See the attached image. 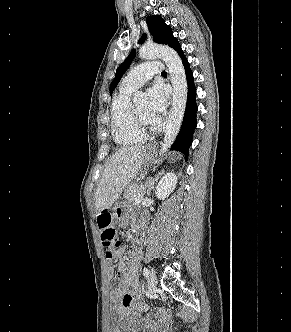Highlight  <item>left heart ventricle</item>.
Segmentation results:
<instances>
[{
  "label": "left heart ventricle",
  "mask_w": 291,
  "mask_h": 332,
  "mask_svg": "<svg viewBox=\"0 0 291 332\" xmlns=\"http://www.w3.org/2000/svg\"><path fill=\"white\" fill-rule=\"evenodd\" d=\"M137 111L142 118V120L148 125H152L149 115H148V103L147 101H141L135 104Z\"/></svg>",
  "instance_id": "1"
}]
</instances>
